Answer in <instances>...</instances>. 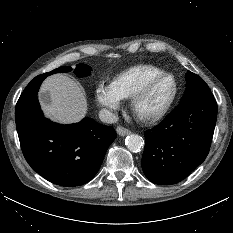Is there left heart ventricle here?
Listing matches in <instances>:
<instances>
[{"label": "left heart ventricle", "instance_id": "left-heart-ventricle-1", "mask_svg": "<svg viewBox=\"0 0 233 233\" xmlns=\"http://www.w3.org/2000/svg\"><path fill=\"white\" fill-rule=\"evenodd\" d=\"M173 91V82L166 78L158 82L150 93L141 101L140 110L143 113H154L167 102Z\"/></svg>", "mask_w": 233, "mask_h": 233}]
</instances>
